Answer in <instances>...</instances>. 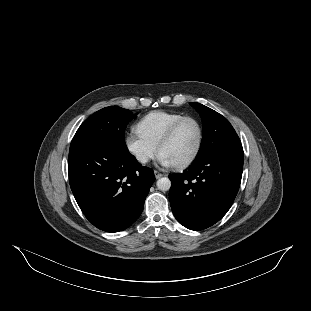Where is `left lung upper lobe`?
<instances>
[{
  "mask_svg": "<svg viewBox=\"0 0 311 311\" xmlns=\"http://www.w3.org/2000/svg\"><path fill=\"white\" fill-rule=\"evenodd\" d=\"M190 105L203 119V139L195 161H200L222 149L241 145L237 133L224 116L197 102Z\"/></svg>",
  "mask_w": 311,
  "mask_h": 311,
  "instance_id": "1",
  "label": "left lung upper lobe"
}]
</instances>
